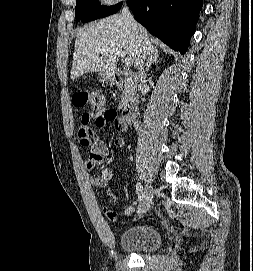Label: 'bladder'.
Segmentation results:
<instances>
[{"mask_svg":"<svg viewBox=\"0 0 253 271\" xmlns=\"http://www.w3.org/2000/svg\"><path fill=\"white\" fill-rule=\"evenodd\" d=\"M165 241L163 232L152 225H137L120 237L121 249L133 253H151L161 248Z\"/></svg>","mask_w":253,"mask_h":271,"instance_id":"obj_1","label":"bladder"}]
</instances>
